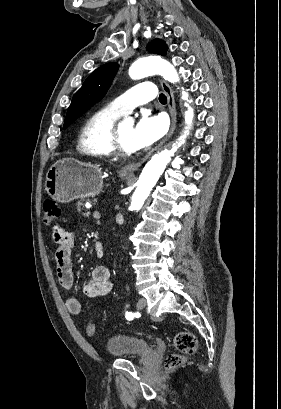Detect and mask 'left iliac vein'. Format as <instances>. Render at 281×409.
<instances>
[{
    "instance_id": "4c4485c4",
    "label": "left iliac vein",
    "mask_w": 281,
    "mask_h": 409,
    "mask_svg": "<svg viewBox=\"0 0 281 409\" xmlns=\"http://www.w3.org/2000/svg\"><path fill=\"white\" fill-rule=\"evenodd\" d=\"M146 306V300L144 298H140L137 302V309H143Z\"/></svg>"
}]
</instances>
